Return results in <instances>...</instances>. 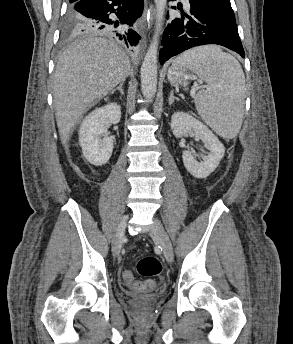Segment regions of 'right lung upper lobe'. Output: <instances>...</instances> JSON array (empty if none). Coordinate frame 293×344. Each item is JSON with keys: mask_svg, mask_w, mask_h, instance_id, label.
<instances>
[{"mask_svg": "<svg viewBox=\"0 0 293 344\" xmlns=\"http://www.w3.org/2000/svg\"><path fill=\"white\" fill-rule=\"evenodd\" d=\"M77 0H70V3H75Z\"/></svg>", "mask_w": 293, "mask_h": 344, "instance_id": "cb5924a9", "label": "right lung upper lobe"}]
</instances>
